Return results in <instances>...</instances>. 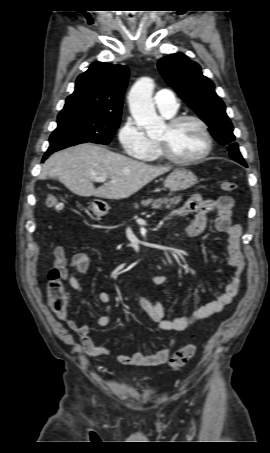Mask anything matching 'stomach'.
I'll list each match as a JSON object with an SVG mask.
<instances>
[{"instance_id": "obj_1", "label": "stomach", "mask_w": 270, "mask_h": 453, "mask_svg": "<svg viewBox=\"0 0 270 453\" xmlns=\"http://www.w3.org/2000/svg\"><path fill=\"white\" fill-rule=\"evenodd\" d=\"M197 183V176L190 170L177 168L170 173L164 181V186L171 191H182L189 189ZM109 210L107 204L100 200L92 203V212L100 217L104 216Z\"/></svg>"}]
</instances>
